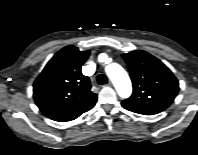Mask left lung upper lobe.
<instances>
[{"label":"left lung upper lobe","instance_id":"left-lung-upper-lobe-1","mask_svg":"<svg viewBox=\"0 0 198 155\" xmlns=\"http://www.w3.org/2000/svg\"><path fill=\"white\" fill-rule=\"evenodd\" d=\"M133 83L130 98L122 106L132 112L153 115L168 108L174 101L179 83L170 69L145 51L122 55Z\"/></svg>","mask_w":198,"mask_h":155}]
</instances>
